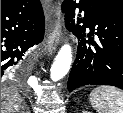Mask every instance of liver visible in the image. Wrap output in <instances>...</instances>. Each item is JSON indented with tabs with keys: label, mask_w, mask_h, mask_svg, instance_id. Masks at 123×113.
Segmentation results:
<instances>
[{
	"label": "liver",
	"mask_w": 123,
	"mask_h": 113,
	"mask_svg": "<svg viewBox=\"0 0 123 113\" xmlns=\"http://www.w3.org/2000/svg\"><path fill=\"white\" fill-rule=\"evenodd\" d=\"M20 94L10 88H1V113H21L24 110Z\"/></svg>",
	"instance_id": "1"
}]
</instances>
